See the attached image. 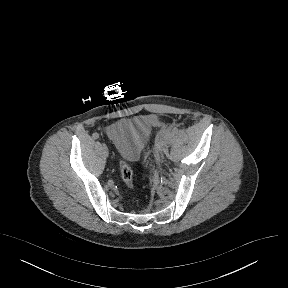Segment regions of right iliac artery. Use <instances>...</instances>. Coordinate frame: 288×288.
Masks as SVG:
<instances>
[{"label":"right iliac artery","instance_id":"right-iliac-artery-1","mask_svg":"<svg viewBox=\"0 0 288 288\" xmlns=\"http://www.w3.org/2000/svg\"><path fill=\"white\" fill-rule=\"evenodd\" d=\"M92 137H93L94 139H98V138H99V134H98V133H93Z\"/></svg>","mask_w":288,"mask_h":288}]
</instances>
